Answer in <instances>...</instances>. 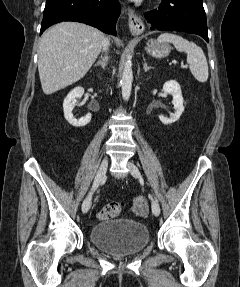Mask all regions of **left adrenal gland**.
Listing matches in <instances>:
<instances>
[{
	"instance_id": "obj_1",
	"label": "left adrenal gland",
	"mask_w": 240,
	"mask_h": 287,
	"mask_svg": "<svg viewBox=\"0 0 240 287\" xmlns=\"http://www.w3.org/2000/svg\"><path fill=\"white\" fill-rule=\"evenodd\" d=\"M152 68H153V67L148 66L147 62H146V61H144L143 69H144V71H145V72H147L149 69H152Z\"/></svg>"
}]
</instances>
